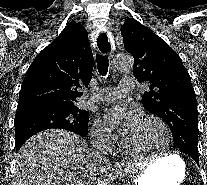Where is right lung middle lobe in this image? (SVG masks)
<instances>
[{"label": "right lung middle lobe", "mask_w": 207, "mask_h": 185, "mask_svg": "<svg viewBox=\"0 0 207 185\" xmlns=\"http://www.w3.org/2000/svg\"><path fill=\"white\" fill-rule=\"evenodd\" d=\"M89 113L79 108L39 106L16 111L15 146L21 145L32 135L46 129H66L86 136Z\"/></svg>", "instance_id": "obj_1"}]
</instances>
